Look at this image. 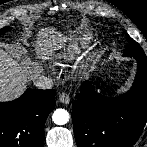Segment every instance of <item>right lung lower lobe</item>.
<instances>
[{
	"instance_id": "98d812e1",
	"label": "right lung lower lobe",
	"mask_w": 147,
	"mask_h": 147,
	"mask_svg": "<svg viewBox=\"0 0 147 147\" xmlns=\"http://www.w3.org/2000/svg\"><path fill=\"white\" fill-rule=\"evenodd\" d=\"M55 90L27 89L0 103V147H43L44 125L55 107Z\"/></svg>"
}]
</instances>
